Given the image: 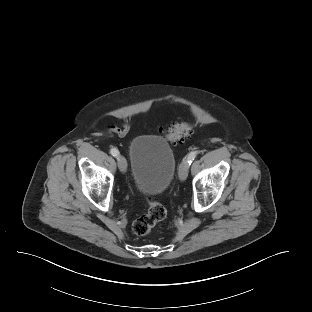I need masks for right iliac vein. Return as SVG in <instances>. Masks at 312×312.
I'll return each mask as SVG.
<instances>
[{"label":"right iliac vein","mask_w":312,"mask_h":312,"mask_svg":"<svg viewBox=\"0 0 312 312\" xmlns=\"http://www.w3.org/2000/svg\"><path fill=\"white\" fill-rule=\"evenodd\" d=\"M117 164L121 172H126L127 169V161L123 156H118Z\"/></svg>","instance_id":"obj_1"}]
</instances>
